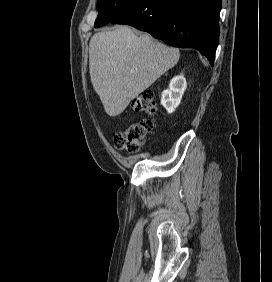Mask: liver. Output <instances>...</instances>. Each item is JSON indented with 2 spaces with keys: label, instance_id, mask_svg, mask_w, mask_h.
Returning a JSON list of instances; mask_svg holds the SVG:
<instances>
[{
  "label": "liver",
  "instance_id": "liver-1",
  "mask_svg": "<svg viewBox=\"0 0 272 282\" xmlns=\"http://www.w3.org/2000/svg\"><path fill=\"white\" fill-rule=\"evenodd\" d=\"M178 49L136 34L128 26L93 35L89 70L94 90L106 113L118 116L130 101L152 85L179 60Z\"/></svg>",
  "mask_w": 272,
  "mask_h": 282
}]
</instances>
